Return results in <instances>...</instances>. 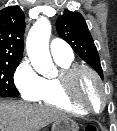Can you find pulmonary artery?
Returning a JSON list of instances; mask_svg holds the SVG:
<instances>
[{"label":"pulmonary artery","mask_w":117,"mask_h":131,"mask_svg":"<svg viewBox=\"0 0 117 131\" xmlns=\"http://www.w3.org/2000/svg\"><path fill=\"white\" fill-rule=\"evenodd\" d=\"M50 52L54 60L73 58L71 47L61 39H53L50 44Z\"/></svg>","instance_id":"pulmonary-artery-1"}]
</instances>
